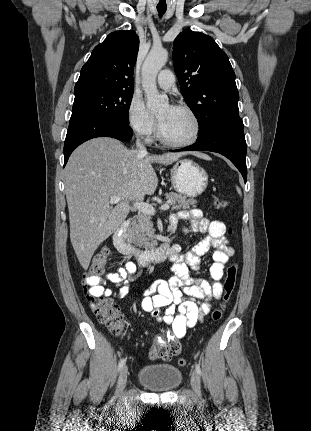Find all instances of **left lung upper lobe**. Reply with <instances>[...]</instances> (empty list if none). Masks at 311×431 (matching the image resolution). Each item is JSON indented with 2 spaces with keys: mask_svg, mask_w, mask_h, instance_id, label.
Masks as SVG:
<instances>
[{
  "mask_svg": "<svg viewBox=\"0 0 311 431\" xmlns=\"http://www.w3.org/2000/svg\"><path fill=\"white\" fill-rule=\"evenodd\" d=\"M173 61L180 91L198 119V137L224 120L240 118L235 73L212 37L183 31L174 40Z\"/></svg>",
  "mask_w": 311,
  "mask_h": 431,
  "instance_id": "5c2ea615",
  "label": "left lung upper lobe"
}]
</instances>
